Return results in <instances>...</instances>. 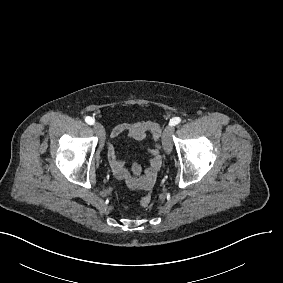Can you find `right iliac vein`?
Listing matches in <instances>:
<instances>
[{"instance_id": "1", "label": "right iliac vein", "mask_w": 283, "mask_h": 283, "mask_svg": "<svg viewBox=\"0 0 283 283\" xmlns=\"http://www.w3.org/2000/svg\"><path fill=\"white\" fill-rule=\"evenodd\" d=\"M93 127H94V130L96 131L97 135L100 137V146H99V148L102 149L104 147V141H105V131H104V128L98 122H96Z\"/></svg>"}]
</instances>
